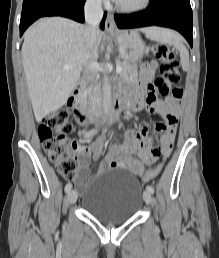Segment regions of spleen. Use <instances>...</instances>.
Masks as SVG:
<instances>
[{"label":"spleen","instance_id":"spleen-1","mask_svg":"<svg viewBox=\"0 0 219 258\" xmlns=\"http://www.w3.org/2000/svg\"><path fill=\"white\" fill-rule=\"evenodd\" d=\"M147 38L157 41L160 43L173 45L180 53L181 64L184 70L189 68V52L183 45L180 36L172 30L160 28V27H150L145 31Z\"/></svg>","mask_w":219,"mask_h":258}]
</instances>
